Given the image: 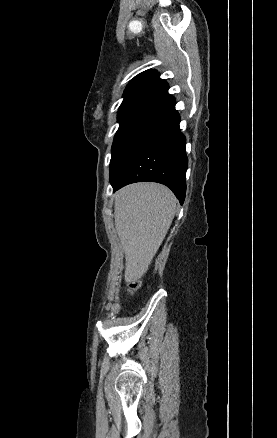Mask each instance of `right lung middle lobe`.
<instances>
[{
    "instance_id": "obj_1",
    "label": "right lung middle lobe",
    "mask_w": 277,
    "mask_h": 438,
    "mask_svg": "<svg viewBox=\"0 0 277 438\" xmlns=\"http://www.w3.org/2000/svg\"><path fill=\"white\" fill-rule=\"evenodd\" d=\"M167 115V111H157L137 116L118 117L120 126L112 145L110 163L111 182H115L123 176Z\"/></svg>"
}]
</instances>
